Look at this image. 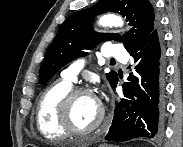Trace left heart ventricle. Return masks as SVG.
Instances as JSON below:
<instances>
[{
    "mask_svg": "<svg viewBox=\"0 0 183 147\" xmlns=\"http://www.w3.org/2000/svg\"><path fill=\"white\" fill-rule=\"evenodd\" d=\"M99 107L96 100L89 95H80L71 106L73 125L80 130L89 128L97 119Z\"/></svg>",
    "mask_w": 183,
    "mask_h": 147,
    "instance_id": "left-heart-ventricle-1",
    "label": "left heart ventricle"
}]
</instances>
